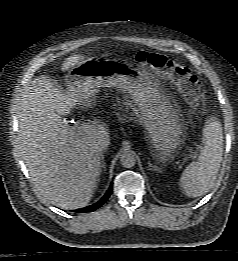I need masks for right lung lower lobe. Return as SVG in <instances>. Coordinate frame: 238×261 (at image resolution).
Wrapping results in <instances>:
<instances>
[{
    "mask_svg": "<svg viewBox=\"0 0 238 261\" xmlns=\"http://www.w3.org/2000/svg\"><path fill=\"white\" fill-rule=\"evenodd\" d=\"M109 197H110V194L107 193V194L102 198V200L99 201V205H98L96 208H92V209H90V210L92 211V210H95V209L99 208L100 206H102V205L108 200Z\"/></svg>",
    "mask_w": 238,
    "mask_h": 261,
    "instance_id": "1",
    "label": "right lung lower lobe"
}]
</instances>
